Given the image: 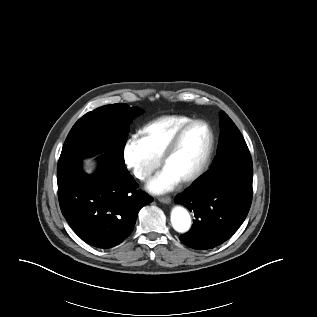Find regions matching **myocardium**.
<instances>
[{
    "mask_svg": "<svg viewBox=\"0 0 317 317\" xmlns=\"http://www.w3.org/2000/svg\"><path fill=\"white\" fill-rule=\"evenodd\" d=\"M197 124H202L206 127L208 134H209V143H208V147L206 149V152H205L203 159L200 162L199 166L189 176H187L181 180V182L183 184H186V185L192 184L195 181H197L205 173V171L207 170V168L210 164L211 157H212V154L214 151V146H215V135H214V132H213L211 125L207 121L202 120V119H192L191 121L186 123L184 126H182L177 131V133L175 134V136L171 140L170 144L168 145V147H167V149L162 157V163L164 164V166H166L167 162L177 152L184 135L187 133V131L189 129H191L193 126H195Z\"/></svg>",
    "mask_w": 317,
    "mask_h": 317,
    "instance_id": "f54148a6",
    "label": "myocardium"
}]
</instances>
